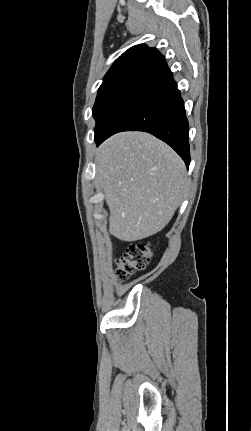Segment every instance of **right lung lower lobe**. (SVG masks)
<instances>
[{"label":"right lung lower lobe","instance_id":"1","mask_svg":"<svg viewBox=\"0 0 251 431\" xmlns=\"http://www.w3.org/2000/svg\"><path fill=\"white\" fill-rule=\"evenodd\" d=\"M121 131H144L156 136L171 146L189 167V125L184 102L160 52L95 142L99 145Z\"/></svg>","mask_w":251,"mask_h":431}]
</instances>
